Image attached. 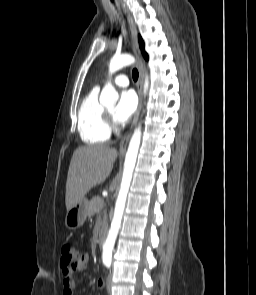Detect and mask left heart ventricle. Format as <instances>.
Returning <instances> with one entry per match:
<instances>
[{"mask_svg":"<svg viewBox=\"0 0 256 295\" xmlns=\"http://www.w3.org/2000/svg\"><path fill=\"white\" fill-rule=\"evenodd\" d=\"M107 109H108V111H109L111 114H112V113L114 112V110H115L114 107H108Z\"/></svg>","mask_w":256,"mask_h":295,"instance_id":"left-heart-ventricle-1","label":"left heart ventricle"}]
</instances>
